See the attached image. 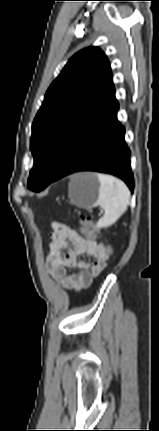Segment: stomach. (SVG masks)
Masks as SVG:
<instances>
[{
  "mask_svg": "<svg viewBox=\"0 0 159 431\" xmlns=\"http://www.w3.org/2000/svg\"><path fill=\"white\" fill-rule=\"evenodd\" d=\"M100 182L95 173L83 172L72 177L69 196L80 208L95 206L99 199Z\"/></svg>",
  "mask_w": 159,
  "mask_h": 431,
  "instance_id": "obj_1",
  "label": "stomach"
}]
</instances>
